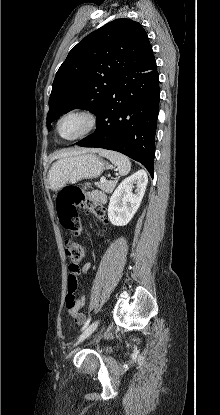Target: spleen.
Segmentation results:
<instances>
[{
    "mask_svg": "<svg viewBox=\"0 0 220 415\" xmlns=\"http://www.w3.org/2000/svg\"><path fill=\"white\" fill-rule=\"evenodd\" d=\"M99 155L109 159L115 166H117L120 175L125 176L131 169V162L125 155L109 150H99Z\"/></svg>",
    "mask_w": 220,
    "mask_h": 415,
    "instance_id": "spleen-1",
    "label": "spleen"
}]
</instances>
